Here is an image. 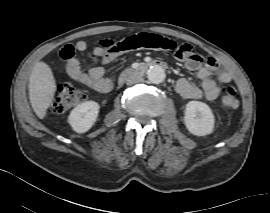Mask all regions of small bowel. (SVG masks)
Instances as JSON below:
<instances>
[{
  "instance_id": "c3829d8e",
  "label": "small bowel",
  "mask_w": 270,
  "mask_h": 213,
  "mask_svg": "<svg viewBox=\"0 0 270 213\" xmlns=\"http://www.w3.org/2000/svg\"><path fill=\"white\" fill-rule=\"evenodd\" d=\"M88 44L85 41H78L75 45L67 44L60 49V57L66 62V71L75 81L88 86L98 93H107L114 87V81L107 77L103 64L111 62L121 55L124 49H120L119 43L108 38H100L94 42L93 55L100 60V64L91 67L87 72L81 68V61L77 53L86 51ZM113 48L114 50H110ZM116 49V50H115ZM194 53L192 47L184 54V60L188 70L196 73L201 83L199 86L192 84L185 78L178 80L177 92L187 99H198L205 97L213 100L218 97L221 86L232 81L229 71L222 68L218 62L211 58L207 63H196L191 60ZM215 74L216 79H213Z\"/></svg>"
}]
</instances>
